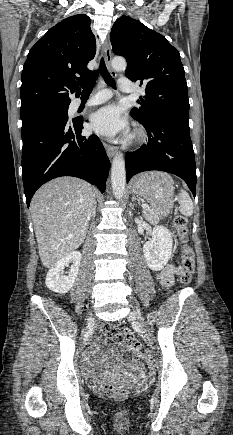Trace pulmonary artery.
I'll return each mask as SVG.
<instances>
[{
  "mask_svg": "<svg viewBox=\"0 0 233 435\" xmlns=\"http://www.w3.org/2000/svg\"><path fill=\"white\" fill-rule=\"evenodd\" d=\"M118 88L122 93H130L133 91L132 81L128 78H121L118 83ZM109 98L110 94L106 90H101L86 101L76 99L74 107L97 105L107 101Z\"/></svg>",
  "mask_w": 233,
  "mask_h": 435,
  "instance_id": "pulmonary-artery-1",
  "label": "pulmonary artery"
}]
</instances>
